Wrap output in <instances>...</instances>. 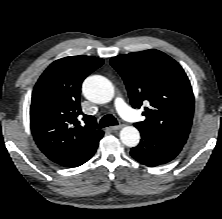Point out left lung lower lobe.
I'll return each mask as SVG.
<instances>
[{
  "instance_id": "obj_1",
  "label": "left lung lower lobe",
  "mask_w": 222,
  "mask_h": 219,
  "mask_svg": "<svg viewBox=\"0 0 222 219\" xmlns=\"http://www.w3.org/2000/svg\"><path fill=\"white\" fill-rule=\"evenodd\" d=\"M135 127L140 131L142 139L138 146L131 149L130 154L135 160L149 167L171 161L184 145L144 127Z\"/></svg>"
}]
</instances>
